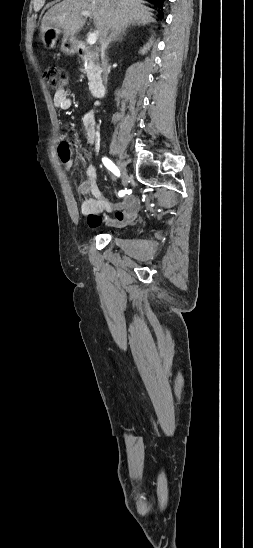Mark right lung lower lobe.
I'll return each instance as SVG.
<instances>
[{
	"instance_id": "obj_1",
	"label": "right lung lower lobe",
	"mask_w": 253,
	"mask_h": 548,
	"mask_svg": "<svg viewBox=\"0 0 253 548\" xmlns=\"http://www.w3.org/2000/svg\"><path fill=\"white\" fill-rule=\"evenodd\" d=\"M152 3H154L155 5H157L158 7H162L163 3L165 0H148Z\"/></svg>"
}]
</instances>
